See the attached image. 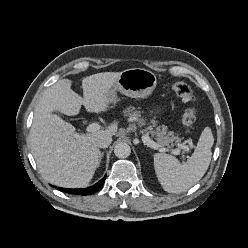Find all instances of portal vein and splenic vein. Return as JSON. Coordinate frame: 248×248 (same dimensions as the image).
I'll return each mask as SVG.
<instances>
[{
    "label": "portal vein and splenic vein",
    "mask_w": 248,
    "mask_h": 248,
    "mask_svg": "<svg viewBox=\"0 0 248 248\" xmlns=\"http://www.w3.org/2000/svg\"><path fill=\"white\" fill-rule=\"evenodd\" d=\"M100 128H101V126L98 123H91L87 126L86 131L87 132H95V131L100 130ZM142 140L146 145H148L152 149L158 150L160 147L156 142L151 140V138L148 135H144L142 137ZM180 149L187 150V146H185L184 144H180L178 148L172 149L171 153L174 155H179L181 152ZM163 150H166V149H163Z\"/></svg>",
    "instance_id": "obj_1"
}]
</instances>
